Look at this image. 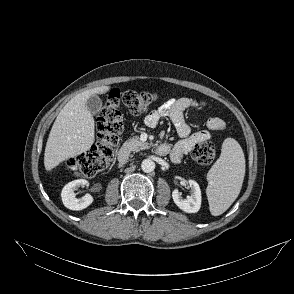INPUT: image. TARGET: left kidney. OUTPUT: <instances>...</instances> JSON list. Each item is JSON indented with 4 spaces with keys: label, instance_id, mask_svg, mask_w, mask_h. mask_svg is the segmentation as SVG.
<instances>
[{
    "label": "left kidney",
    "instance_id": "1",
    "mask_svg": "<svg viewBox=\"0 0 294 294\" xmlns=\"http://www.w3.org/2000/svg\"><path fill=\"white\" fill-rule=\"evenodd\" d=\"M191 188V195L186 199L181 197L180 192L176 189L172 192L174 203L183 211L187 213H196L201 206V190L198 183L194 180L188 181Z\"/></svg>",
    "mask_w": 294,
    "mask_h": 294
}]
</instances>
